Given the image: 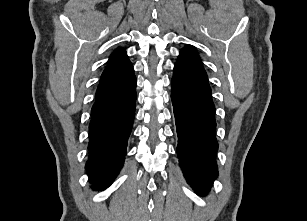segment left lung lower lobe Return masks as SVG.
Segmentation results:
<instances>
[{"label": "left lung lower lobe", "mask_w": 307, "mask_h": 221, "mask_svg": "<svg viewBox=\"0 0 307 221\" xmlns=\"http://www.w3.org/2000/svg\"><path fill=\"white\" fill-rule=\"evenodd\" d=\"M180 166L188 183L205 195L218 175L215 107L199 60L180 51L171 80Z\"/></svg>", "instance_id": "left-lung-lower-lobe-1"}]
</instances>
